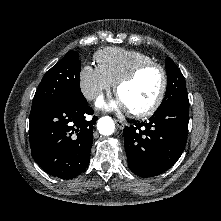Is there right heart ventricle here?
<instances>
[{
	"label": "right heart ventricle",
	"instance_id": "1",
	"mask_svg": "<svg viewBox=\"0 0 221 221\" xmlns=\"http://www.w3.org/2000/svg\"><path fill=\"white\" fill-rule=\"evenodd\" d=\"M97 68L113 83L135 68L137 65L153 62L147 54L122 48H105L95 55Z\"/></svg>",
	"mask_w": 221,
	"mask_h": 221
}]
</instances>
